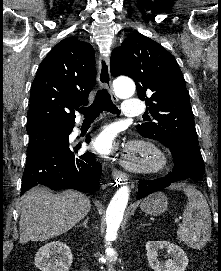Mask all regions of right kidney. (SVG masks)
<instances>
[{
  "label": "right kidney",
  "instance_id": "right-kidney-1",
  "mask_svg": "<svg viewBox=\"0 0 221 271\" xmlns=\"http://www.w3.org/2000/svg\"><path fill=\"white\" fill-rule=\"evenodd\" d=\"M72 261L69 245L58 239L41 245L34 257V263L40 271H69Z\"/></svg>",
  "mask_w": 221,
  "mask_h": 271
}]
</instances>
